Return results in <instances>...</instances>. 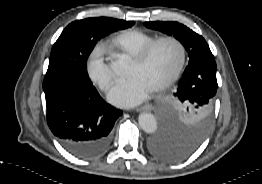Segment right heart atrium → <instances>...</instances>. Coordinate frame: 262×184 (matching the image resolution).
<instances>
[{
	"label": "right heart atrium",
	"mask_w": 262,
	"mask_h": 184,
	"mask_svg": "<svg viewBox=\"0 0 262 184\" xmlns=\"http://www.w3.org/2000/svg\"><path fill=\"white\" fill-rule=\"evenodd\" d=\"M86 71L90 81L103 92H107L115 81V73L110 61L105 57L102 45H96L90 52Z\"/></svg>",
	"instance_id": "1"
}]
</instances>
